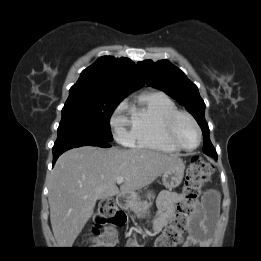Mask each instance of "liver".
<instances>
[{"label": "liver", "mask_w": 261, "mask_h": 261, "mask_svg": "<svg viewBox=\"0 0 261 261\" xmlns=\"http://www.w3.org/2000/svg\"><path fill=\"white\" fill-rule=\"evenodd\" d=\"M180 158L146 149L83 146L62 154L49 184L50 221L58 247H72L92 217L96 201L135 194L170 169ZM118 177H123L120 190Z\"/></svg>", "instance_id": "liver-1"}]
</instances>
